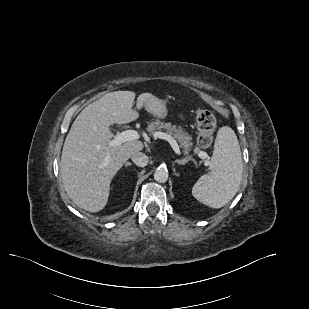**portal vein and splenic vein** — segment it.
<instances>
[{"label": "portal vein and splenic vein", "mask_w": 309, "mask_h": 309, "mask_svg": "<svg viewBox=\"0 0 309 309\" xmlns=\"http://www.w3.org/2000/svg\"><path fill=\"white\" fill-rule=\"evenodd\" d=\"M154 137L168 141L169 144L171 145L173 151L178 155L181 154V151H180V148H179L177 141L171 135L164 133V132H161V131H157V132L154 133ZM138 138H139V134H138L137 131L126 130V131H123V132L117 134L115 136V138L110 141L109 145L114 147V146L121 145L122 143H125V142H128V141L137 140ZM199 157L202 158V159H205V158H207V153L201 151L200 154H199ZM204 164L206 166H208L209 161L205 160Z\"/></svg>", "instance_id": "obj_1"}]
</instances>
